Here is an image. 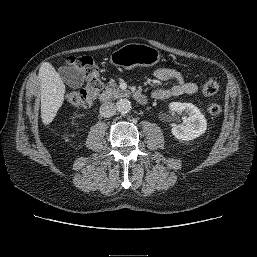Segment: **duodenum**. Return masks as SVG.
<instances>
[{
  "instance_id": "410a0bca",
  "label": "duodenum",
  "mask_w": 257,
  "mask_h": 257,
  "mask_svg": "<svg viewBox=\"0 0 257 257\" xmlns=\"http://www.w3.org/2000/svg\"><path fill=\"white\" fill-rule=\"evenodd\" d=\"M133 96H134V98H135V100H136V102H137L138 104H140V105L146 104V102H147V97H146V95L143 94L142 92L137 91V92H135V93L133 94ZM99 99H100V101H101L102 103H106V102L108 101V96H107L106 94H102Z\"/></svg>"
}]
</instances>
